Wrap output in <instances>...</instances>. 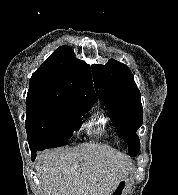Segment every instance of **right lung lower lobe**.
<instances>
[{
  "mask_svg": "<svg viewBox=\"0 0 178 195\" xmlns=\"http://www.w3.org/2000/svg\"><path fill=\"white\" fill-rule=\"evenodd\" d=\"M31 159H32V161H34L36 159V153L31 155Z\"/></svg>",
  "mask_w": 178,
  "mask_h": 195,
  "instance_id": "98d812e1",
  "label": "right lung lower lobe"
}]
</instances>
